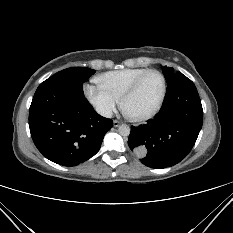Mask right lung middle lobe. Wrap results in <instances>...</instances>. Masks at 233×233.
I'll return each mask as SVG.
<instances>
[{"label": "right lung middle lobe", "instance_id": "dd1d6c3e", "mask_svg": "<svg viewBox=\"0 0 233 233\" xmlns=\"http://www.w3.org/2000/svg\"><path fill=\"white\" fill-rule=\"evenodd\" d=\"M95 73V70L86 67H72L57 72L50 79L67 80L83 85V83Z\"/></svg>", "mask_w": 233, "mask_h": 233}]
</instances>
